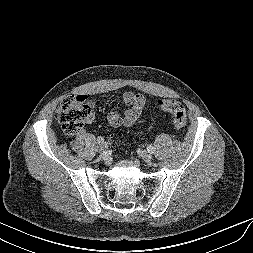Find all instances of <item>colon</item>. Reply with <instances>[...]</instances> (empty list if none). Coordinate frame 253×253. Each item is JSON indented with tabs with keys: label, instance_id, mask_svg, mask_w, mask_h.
<instances>
[{
	"label": "colon",
	"instance_id": "5ec220e1",
	"mask_svg": "<svg viewBox=\"0 0 253 253\" xmlns=\"http://www.w3.org/2000/svg\"><path fill=\"white\" fill-rule=\"evenodd\" d=\"M161 111L173 115L174 124L178 128L185 126L187 114L185 106L175 99H161L158 101ZM56 119L62 125L66 134L75 135L81 131L85 123L93 119V112L84 96L65 97L56 112Z\"/></svg>",
	"mask_w": 253,
	"mask_h": 253
}]
</instances>
